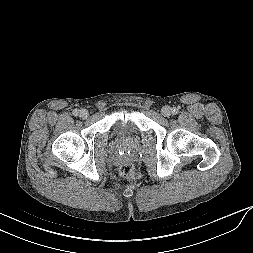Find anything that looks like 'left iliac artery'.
Returning a JSON list of instances; mask_svg holds the SVG:
<instances>
[{"mask_svg": "<svg viewBox=\"0 0 253 253\" xmlns=\"http://www.w3.org/2000/svg\"><path fill=\"white\" fill-rule=\"evenodd\" d=\"M172 113L175 115V114H177L178 113V109L177 108H173L172 109Z\"/></svg>", "mask_w": 253, "mask_h": 253, "instance_id": "1", "label": "left iliac artery"}]
</instances>
